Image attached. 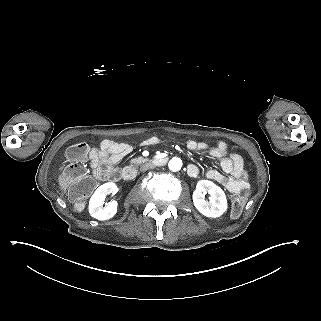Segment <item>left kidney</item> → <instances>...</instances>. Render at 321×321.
<instances>
[{"mask_svg":"<svg viewBox=\"0 0 321 321\" xmlns=\"http://www.w3.org/2000/svg\"><path fill=\"white\" fill-rule=\"evenodd\" d=\"M210 195L209 201L205 194ZM193 202L196 209L207 217H220L227 210V200L224 191L209 180H200L193 193Z\"/></svg>","mask_w":321,"mask_h":321,"instance_id":"5707ae66","label":"left kidney"}]
</instances>
